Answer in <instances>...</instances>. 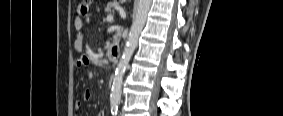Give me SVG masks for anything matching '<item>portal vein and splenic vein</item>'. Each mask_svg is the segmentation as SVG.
Instances as JSON below:
<instances>
[{"label": "portal vein and splenic vein", "instance_id": "18ae733b", "mask_svg": "<svg viewBox=\"0 0 283 116\" xmlns=\"http://www.w3.org/2000/svg\"><path fill=\"white\" fill-rule=\"evenodd\" d=\"M107 22H112L113 21V16L112 15H108L106 18Z\"/></svg>", "mask_w": 283, "mask_h": 116}]
</instances>
